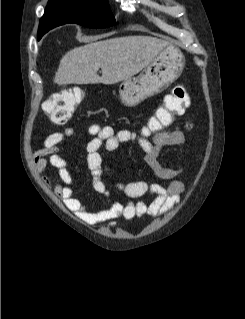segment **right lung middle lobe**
<instances>
[{
    "label": "right lung middle lobe",
    "mask_w": 245,
    "mask_h": 319,
    "mask_svg": "<svg viewBox=\"0 0 245 319\" xmlns=\"http://www.w3.org/2000/svg\"><path fill=\"white\" fill-rule=\"evenodd\" d=\"M46 10L50 11V17L56 22V26L77 23L91 28H105L115 23L107 0L52 1L48 3ZM56 26H50L44 30L39 27L38 32L42 35Z\"/></svg>",
    "instance_id": "1"
}]
</instances>
